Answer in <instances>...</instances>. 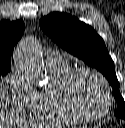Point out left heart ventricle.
<instances>
[{
  "instance_id": "1",
  "label": "left heart ventricle",
  "mask_w": 125,
  "mask_h": 128,
  "mask_svg": "<svg viewBox=\"0 0 125 128\" xmlns=\"http://www.w3.org/2000/svg\"><path fill=\"white\" fill-rule=\"evenodd\" d=\"M72 96L77 106L87 114H98L106 105V95L101 83L90 74L77 78L72 88Z\"/></svg>"
}]
</instances>
